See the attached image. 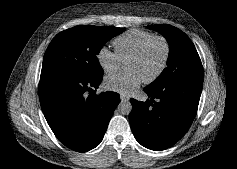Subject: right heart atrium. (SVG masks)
Wrapping results in <instances>:
<instances>
[{
  "mask_svg": "<svg viewBox=\"0 0 237 169\" xmlns=\"http://www.w3.org/2000/svg\"><path fill=\"white\" fill-rule=\"evenodd\" d=\"M97 61L106 73H114L121 66V59L115 51L102 46L97 52Z\"/></svg>",
  "mask_w": 237,
  "mask_h": 169,
  "instance_id": "1",
  "label": "right heart atrium"
}]
</instances>
